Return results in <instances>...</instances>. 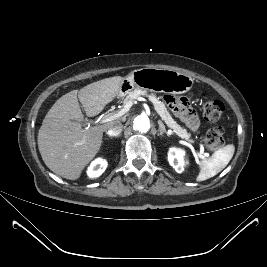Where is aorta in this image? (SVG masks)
Wrapping results in <instances>:
<instances>
[{"instance_id": "1", "label": "aorta", "mask_w": 267, "mask_h": 267, "mask_svg": "<svg viewBox=\"0 0 267 267\" xmlns=\"http://www.w3.org/2000/svg\"><path fill=\"white\" fill-rule=\"evenodd\" d=\"M151 128L150 119L147 115H139L133 121V129L135 131L145 133L148 132Z\"/></svg>"}]
</instances>
